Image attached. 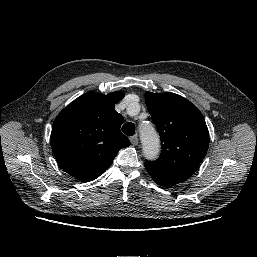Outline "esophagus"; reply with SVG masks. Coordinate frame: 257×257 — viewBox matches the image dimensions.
I'll return each mask as SVG.
<instances>
[{
  "label": "esophagus",
  "mask_w": 257,
  "mask_h": 257,
  "mask_svg": "<svg viewBox=\"0 0 257 257\" xmlns=\"http://www.w3.org/2000/svg\"><path fill=\"white\" fill-rule=\"evenodd\" d=\"M130 141L132 143V145H137L138 144V136L137 135H134L130 138Z\"/></svg>",
  "instance_id": "34e87169"
}]
</instances>
